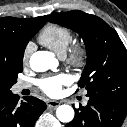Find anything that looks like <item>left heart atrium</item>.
<instances>
[{
    "label": "left heart atrium",
    "instance_id": "39dd6f15",
    "mask_svg": "<svg viewBox=\"0 0 127 127\" xmlns=\"http://www.w3.org/2000/svg\"><path fill=\"white\" fill-rule=\"evenodd\" d=\"M71 82V78L67 74H59L43 78L39 82L40 89L49 96H58L62 92V87Z\"/></svg>",
    "mask_w": 127,
    "mask_h": 127
}]
</instances>
